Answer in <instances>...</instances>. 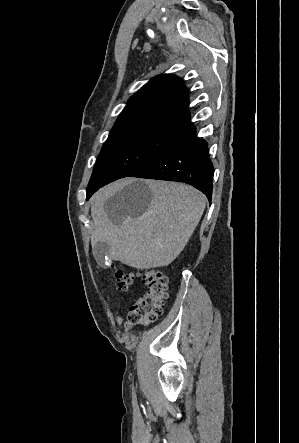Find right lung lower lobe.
Instances as JSON below:
<instances>
[{"label": "right lung lower lobe", "mask_w": 299, "mask_h": 443, "mask_svg": "<svg viewBox=\"0 0 299 443\" xmlns=\"http://www.w3.org/2000/svg\"><path fill=\"white\" fill-rule=\"evenodd\" d=\"M213 172L207 142L196 136L189 117L180 135L167 148L129 176L184 182L202 191L210 201Z\"/></svg>", "instance_id": "98d812e1"}]
</instances>
